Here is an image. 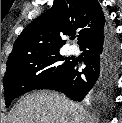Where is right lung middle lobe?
<instances>
[{
	"label": "right lung middle lobe",
	"instance_id": "1",
	"mask_svg": "<svg viewBox=\"0 0 122 123\" xmlns=\"http://www.w3.org/2000/svg\"><path fill=\"white\" fill-rule=\"evenodd\" d=\"M72 62L59 51L33 56L7 67L4 76L5 103L61 76Z\"/></svg>",
	"mask_w": 122,
	"mask_h": 123
}]
</instances>
